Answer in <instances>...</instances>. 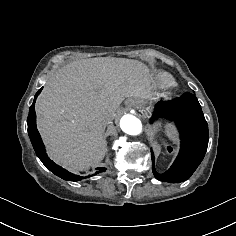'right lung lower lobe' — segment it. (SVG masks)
<instances>
[{
	"mask_svg": "<svg viewBox=\"0 0 236 236\" xmlns=\"http://www.w3.org/2000/svg\"><path fill=\"white\" fill-rule=\"evenodd\" d=\"M41 90L42 88L36 93L33 104L31 105L29 109V115L27 118L28 134H29L31 143L33 145V148L36 152V155L42 161V163L55 175L59 176L60 178L64 180L79 181L85 177L74 175L66 171L62 167L56 165L52 160H50L46 154L44 144L42 142V139L36 127L35 101H36L37 96L40 94ZM105 170L106 168L99 167L97 168V172L95 174L104 172Z\"/></svg>",
	"mask_w": 236,
	"mask_h": 236,
	"instance_id": "98d812e1",
	"label": "right lung lower lobe"
}]
</instances>
